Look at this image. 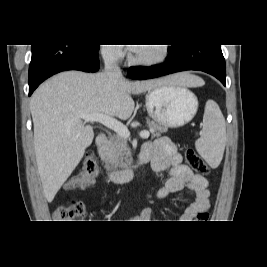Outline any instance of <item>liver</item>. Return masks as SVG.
<instances>
[{
  "instance_id": "1",
  "label": "liver",
  "mask_w": 267,
  "mask_h": 267,
  "mask_svg": "<svg viewBox=\"0 0 267 267\" xmlns=\"http://www.w3.org/2000/svg\"><path fill=\"white\" fill-rule=\"evenodd\" d=\"M205 82L189 73L162 79L128 81L105 73H60L36 89L30 101L34 124V149L43 193L48 202L81 161L94 138L93 128L80 114L102 113L128 119L134 111L132 94L163 85L201 87Z\"/></svg>"
}]
</instances>
